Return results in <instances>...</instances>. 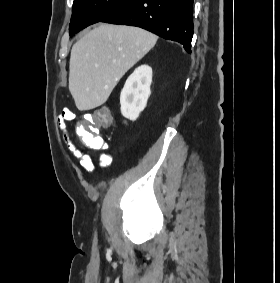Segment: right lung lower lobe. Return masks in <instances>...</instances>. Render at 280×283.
I'll use <instances>...</instances> for the list:
<instances>
[{"label": "right lung lower lobe", "instance_id": "98d812e1", "mask_svg": "<svg viewBox=\"0 0 280 283\" xmlns=\"http://www.w3.org/2000/svg\"><path fill=\"white\" fill-rule=\"evenodd\" d=\"M101 22L146 29L191 53L193 0H132Z\"/></svg>", "mask_w": 280, "mask_h": 283}]
</instances>
